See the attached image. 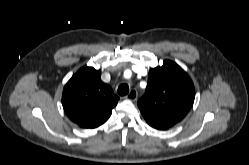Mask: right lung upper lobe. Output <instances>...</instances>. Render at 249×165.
Returning <instances> with one entry per match:
<instances>
[{"label": "right lung upper lobe", "mask_w": 249, "mask_h": 165, "mask_svg": "<svg viewBox=\"0 0 249 165\" xmlns=\"http://www.w3.org/2000/svg\"><path fill=\"white\" fill-rule=\"evenodd\" d=\"M119 97L102 82L100 70L82 67L65 85L62 94L64 111L82 128H96L105 123Z\"/></svg>", "instance_id": "cb5924a9"}]
</instances>
